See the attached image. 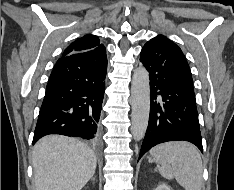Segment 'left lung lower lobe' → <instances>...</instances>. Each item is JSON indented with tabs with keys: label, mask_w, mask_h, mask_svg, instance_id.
<instances>
[{
	"label": "left lung lower lobe",
	"mask_w": 234,
	"mask_h": 190,
	"mask_svg": "<svg viewBox=\"0 0 234 190\" xmlns=\"http://www.w3.org/2000/svg\"><path fill=\"white\" fill-rule=\"evenodd\" d=\"M140 61L149 72L150 116L139 159L167 141H189L203 152L195 94L177 76V45L166 37L158 39L142 48Z\"/></svg>",
	"instance_id": "obj_1"
}]
</instances>
